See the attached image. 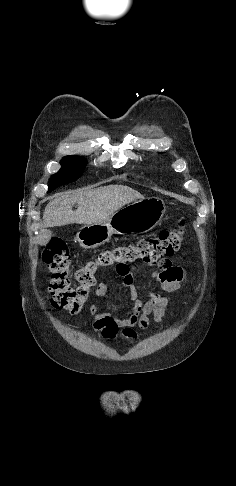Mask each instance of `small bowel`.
<instances>
[{
	"instance_id": "obj_1",
	"label": "small bowel",
	"mask_w": 236,
	"mask_h": 486,
	"mask_svg": "<svg viewBox=\"0 0 236 486\" xmlns=\"http://www.w3.org/2000/svg\"><path fill=\"white\" fill-rule=\"evenodd\" d=\"M148 264L157 267L153 273V279L162 290L174 292L180 289L181 281L184 278V271L181 267L173 265L169 259H160ZM116 271L128 289L125 299L130 302V306L124 312V318H118L111 313L99 312L98 304L91 305L89 313L94 320L93 327L106 337H114L120 331L126 338L137 339L138 334L134 328L147 329L151 323L150 316L153 317L154 322L160 323L169 304V298L153 288L149 292V298L145 301L141 300L133 284L134 268L127 265L116 267ZM108 290V284L100 282L95 295L97 298H102L108 293Z\"/></svg>"
}]
</instances>
